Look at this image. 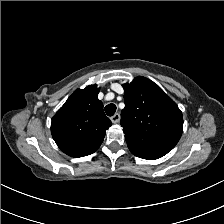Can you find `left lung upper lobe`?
Segmentation results:
<instances>
[{"label":"left lung upper lobe","mask_w":224,"mask_h":224,"mask_svg":"<svg viewBox=\"0 0 224 224\" xmlns=\"http://www.w3.org/2000/svg\"><path fill=\"white\" fill-rule=\"evenodd\" d=\"M125 108L120 124L129 149L164 156L179 141L183 116L177 104L153 81L136 77L123 84Z\"/></svg>","instance_id":"obj_1"}]
</instances>
